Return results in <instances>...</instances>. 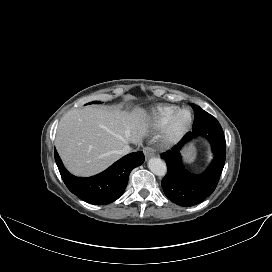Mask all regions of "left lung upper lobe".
I'll list each match as a JSON object with an SVG mask.
<instances>
[{
	"label": "left lung upper lobe",
	"mask_w": 272,
	"mask_h": 272,
	"mask_svg": "<svg viewBox=\"0 0 272 272\" xmlns=\"http://www.w3.org/2000/svg\"><path fill=\"white\" fill-rule=\"evenodd\" d=\"M195 111L194 123L192 130L198 129L214 120H216L212 115L201 109L198 105L189 103Z\"/></svg>",
	"instance_id": "left-lung-upper-lobe-1"
}]
</instances>
